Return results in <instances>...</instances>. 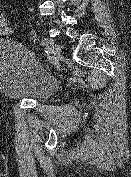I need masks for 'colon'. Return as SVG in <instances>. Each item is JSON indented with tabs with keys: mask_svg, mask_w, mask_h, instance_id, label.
<instances>
[{
	"mask_svg": "<svg viewBox=\"0 0 131 177\" xmlns=\"http://www.w3.org/2000/svg\"><path fill=\"white\" fill-rule=\"evenodd\" d=\"M12 27L8 18L0 13V37H7L11 35Z\"/></svg>",
	"mask_w": 131,
	"mask_h": 177,
	"instance_id": "colon-1",
	"label": "colon"
}]
</instances>
